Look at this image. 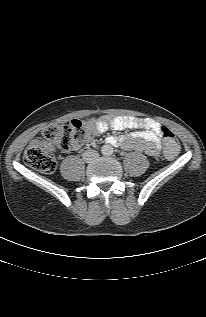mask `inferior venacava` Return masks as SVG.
I'll use <instances>...</instances> for the list:
<instances>
[{"label": "inferior vena cava", "mask_w": 206, "mask_h": 317, "mask_svg": "<svg viewBox=\"0 0 206 317\" xmlns=\"http://www.w3.org/2000/svg\"><path fill=\"white\" fill-rule=\"evenodd\" d=\"M99 156V154L92 150V151H87L83 154V159L86 160V161H90V160H93L95 158H97Z\"/></svg>", "instance_id": "inferior-vena-cava-1"}]
</instances>
